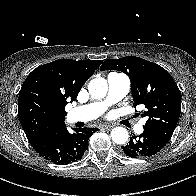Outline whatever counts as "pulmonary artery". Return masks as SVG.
<instances>
[{
	"mask_svg": "<svg viewBox=\"0 0 196 196\" xmlns=\"http://www.w3.org/2000/svg\"><path fill=\"white\" fill-rule=\"evenodd\" d=\"M108 93L104 100L71 109L68 118L71 122H86L98 118L111 105L124 98L130 89L129 77L112 72L107 76ZM135 131H143L142 123L136 125Z\"/></svg>",
	"mask_w": 196,
	"mask_h": 196,
	"instance_id": "e3ab8cb5",
	"label": "pulmonary artery"
}]
</instances>
